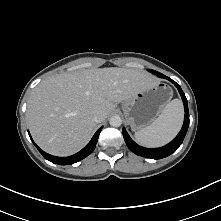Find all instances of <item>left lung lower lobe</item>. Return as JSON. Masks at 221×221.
<instances>
[{
  "mask_svg": "<svg viewBox=\"0 0 221 221\" xmlns=\"http://www.w3.org/2000/svg\"><path fill=\"white\" fill-rule=\"evenodd\" d=\"M160 77H163V78H166V79L170 80L177 87V89H178V91L181 95V98L183 100L184 110H185V117H184V123H183L182 129L179 132V134L169 144H167L163 147H160V148L149 149V148L141 147L138 144H136L130 138V136L128 135L125 128H123V137H124V140H125L128 148L132 152H134L135 154H137L139 156L146 157V158H151V159H162V158H165V157L171 155L172 153H174L179 148V146L182 144V142L184 140V137L187 133L188 126H189L188 103H187V99H186L185 94L182 91L180 85L177 84L172 79L164 76L163 74H161Z\"/></svg>",
  "mask_w": 221,
  "mask_h": 221,
  "instance_id": "left-lung-lower-lobe-1",
  "label": "left lung lower lobe"
}]
</instances>
